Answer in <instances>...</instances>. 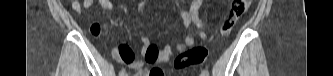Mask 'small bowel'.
Returning <instances> with one entry per match:
<instances>
[{
  "label": "small bowel",
  "instance_id": "c3829d8e",
  "mask_svg": "<svg viewBox=\"0 0 333 76\" xmlns=\"http://www.w3.org/2000/svg\"><path fill=\"white\" fill-rule=\"evenodd\" d=\"M202 3V0H194L188 10H175L182 18L184 28H189L192 23L196 26L195 31L184 35L176 44H167L159 49L148 37L143 36L141 38L142 60L134 61L135 56L131 50V46L126 43H122L113 48L112 54L114 58L119 62L129 64V67L134 70L138 76H168V72H166L165 68H160V64L168 62L178 52H182L186 48L192 46L197 39L204 41L207 38L205 25L199 17V8ZM95 4L99 5L106 11H112L114 8L111 0H83L82 2L73 0L71 1L70 6L77 14H81L82 9H90ZM144 4V1L140 2V10ZM90 32L93 34L94 39H100L101 27L99 23H92ZM145 63H149V68L147 69L146 74L143 71Z\"/></svg>",
  "mask_w": 333,
  "mask_h": 76
}]
</instances>
